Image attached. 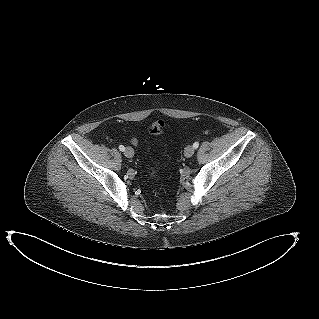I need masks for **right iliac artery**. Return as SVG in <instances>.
<instances>
[{
    "instance_id": "1",
    "label": "right iliac artery",
    "mask_w": 319,
    "mask_h": 319,
    "mask_svg": "<svg viewBox=\"0 0 319 319\" xmlns=\"http://www.w3.org/2000/svg\"><path fill=\"white\" fill-rule=\"evenodd\" d=\"M119 150H120V151H125V147H124L123 145H120V146H119Z\"/></svg>"
}]
</instances>
